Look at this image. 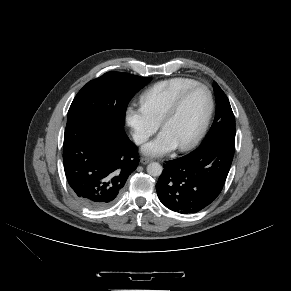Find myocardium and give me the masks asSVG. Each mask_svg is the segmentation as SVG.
Wrapping results in <instances>:
<instances>
[{
	"mask_svg": "<svg viewBox=\"0 0 291 291\" xmlns=\"http://www.w3.org/2000/svg\"><path fill=\"white\" fill-rule=\"evenodd\" d=\"M196 89H204L207 92L208 99H209L208 111L197 133L188 142L178 146V149L180 151H187V150L192 149L194 146H196L199 143V141L205 135L208 129V126L210 124V121L212 119L214 109H215V101H214V96H213L212 91L210 90L208 86L202 83H197L186 88L176 97V99L173 101L170 107L166 110V112L164 113L160 121L161 128L163 129L166 122L170 120L179 111V109L181 108L182 104L184 103L188 95Z\"/></svg>",
	"mask_w": 291,
	"mask_h": 291,
	"instance_id": "myocardium-1",
	"label": "myocardium"
}]
</instances>
